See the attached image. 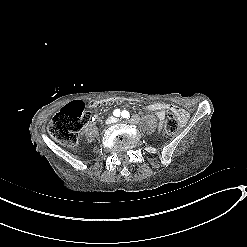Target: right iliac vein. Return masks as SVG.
<instances>
[{
  "label": "right iliac vein",
  "mask_w": 247,
  "mask_h": 247,
  "mask_svg": "<svg viewBox=\"0 0 247 247\" xmlns=\"http://www.w3.org/2000/svg\"><path fill=\"white\" fill-rule=\"evenodd\" d=\"M113 122V119H108L107 121H106V124H111Z\"/></svg>",
  "instance_id": "63e3f726"
}]
</instances>
